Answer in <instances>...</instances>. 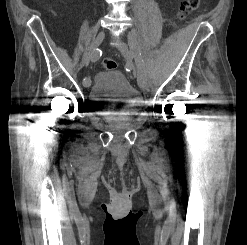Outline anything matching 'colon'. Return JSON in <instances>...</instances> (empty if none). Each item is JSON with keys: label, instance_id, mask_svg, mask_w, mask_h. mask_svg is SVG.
Masks as SVG:
<instances>
[{"label": "colon", "instance_id": "obj_1", "mask_svg": "<svg viewBox=\"0 0 247 245\" xmlns=\"http://www.w3.org/2000/svg\"><path fill=\"white\" fill-rule=\"evenodd\" d=\"M199 4L200 0H182L179 8L180 19H185L193 13L199 7ZM103 66L107 70H114L117 68V63L112 59H106L103 61Z\"/></svg>", "mask_w": 247, "mask_h": 245}]
</instances>
